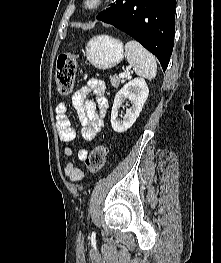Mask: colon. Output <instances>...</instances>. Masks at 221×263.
<instances>
[{
  "label": "colon",
  "instance_id": "1",
  "mask_svg": "<svg viewBox=\"0 0 221 263\" xmlns=\"http://www.w3.org/2000/svg\"><path fill=\"white\" fill-rule=\"evenodd\" d=\"M78 55L75 52L62 53L58 57L56 69V89L62 96L69 95L74 87ZM108 156L106 145L96 146L85 159L87 169L98 172L105 164Z\"/></svg>",
  "mask_w": 221,
  "mask_h": 263
}]
</instances>
